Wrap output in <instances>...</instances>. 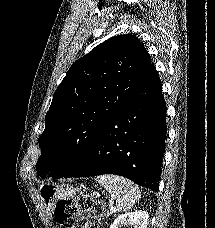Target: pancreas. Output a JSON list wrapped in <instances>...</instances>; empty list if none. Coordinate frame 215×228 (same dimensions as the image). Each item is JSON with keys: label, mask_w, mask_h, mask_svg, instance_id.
I'll use <instances>...</instances> for the list:
<instances>
[{"label": "pancreas", "mask_w": 215, "mask_h": 228, "mask_svg": "<svg viewBox=\"0 0 215 228\" xmlns=\"http://www.w3.org/2000/svg\"><path fill=\"white\" fill-rule=\"evenodd\" d=\"M104 216H105V218H109V216H111V212H109V210H108V212H106V214H104Z\"/></svg>", "instance_id": "1"}]
</instances>
